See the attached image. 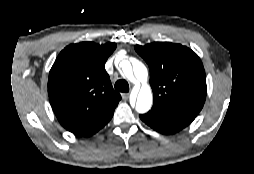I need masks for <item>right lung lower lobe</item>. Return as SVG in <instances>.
I'll list each match as a JSON object with an SVG mask.
<instances>
[{
    "label": "right lung lower lobe",
    "instance_id": "1",
    "mask_svg": "<svg viewBox=\"0 0 254 174\" xmlns=\"http://www.w3.org/2000/svg\"><path fill=\"white\" fill-rule=\"evenodd\" d=\"M114 110H111L104 116H102V117H100V118H98L86 125H83L82 127L77 128L71 132L77 136H80V137H89V136L95 134L110 121V119L112 118V116L114 114Z\"/></svg>",
    "mask_w": 254,
    "mask_h": 174
}]
</instances>
